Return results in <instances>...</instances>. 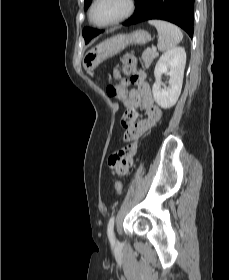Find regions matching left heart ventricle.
<instances>
[{"label":"left heart ventricle","instance_id":"1","mask_svg":"<svg viewBox=\"0 0 229 280\" xmlns=\"http://www.w3.org/2000/svg\"><path fill=\"white\" fill-rule=\"evenodd\" d=\"M125 0H101L93 11V20L96 23L107 22L124 12Z\"/></svg>","mask_w":229,"mask_h":280}]
</instances>
